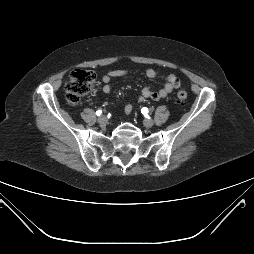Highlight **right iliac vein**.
<instances>
[{
	"label": "right iliac vein",
	"instance_id": "right-iliac-vein-1",
	"mask_svg": "<svg viewBox=\"0 0 254 254\" xmlns=\"http://www.w3.org/2000/svg\"><path fill=\"white\" fill-rule=\"evenodd\" d=\"M98 123H99L100 125L106 124V123H107V117H106L105 115L100 116V117L98 118Z\"/></svg>",
	"mask_w": 254,
	"mask_h": 254
}]
</instances>
